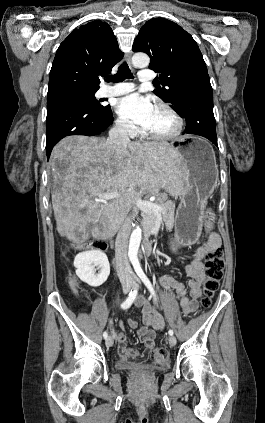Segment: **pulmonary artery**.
Returning <instances> with one entry per match:
<instances>
[{
    "label": "pulmonary artery",
    "instance_id": "pulmonary-artery-1",
    "mask_svg": "<svg viewBox=\"0 0 265 423\" xmlns=\"http://www.w3.org/2000/svg\"><path fill=\"white\" fill-rule=\"evenodd\" d=\"M156 74L150 70H141L139 73V80L141 82L149 83L154 80ZM134 90V85L128 82L117 83L113 86L105 87L101 90V96L111 97L127 94Z\"/></svg>",
    "mask_w": 265,
    "mask_h": 423
}]
</instances>
